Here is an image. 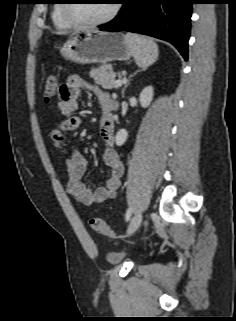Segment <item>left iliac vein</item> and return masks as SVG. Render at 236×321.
I'll return each instance as SVG.
<instances>
[{
    "instance_id": "4c4485c4",
    "label": "left iliac vein",
    "mask_w": 236,
    "mask_h": 321,
    "mask_svg": "<svg viewBox=\"0 0 236 321\" xmlns=\"http://www.w3.org/2000/svg\"><path fill=\"white\" fill-rule=\"evenodd\" d=\"M142 221V212L138 211L131 219L130 224L127 229V235L132 234L137 230Z\"/></svg>"
}]
</instances>
